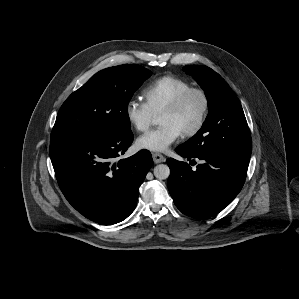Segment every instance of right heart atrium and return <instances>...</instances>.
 Wrapping results in <instances>:
<instances>
[{
  "label": "right heart atrium",
  "mask_w": 299,
  "mask_h": 299,
  "mask_svg": "<svg viewBox=\"0 0 299 299\" xmlns=\"http://www.w3.org/2000/svg\"><path fill=\"white\" fill-rule=\"evenodd\" d=\"M125 117L138 132L146 131L152 124L154 115L148 106L136 99H130L125 105Z\"/></svg>",
  "instance_id": "1"
}]
</instances>
